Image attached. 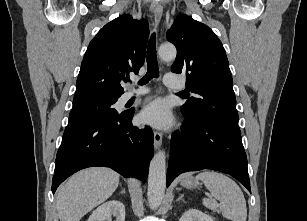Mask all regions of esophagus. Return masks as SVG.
<instances>
[{"label": "esophagus", "mask_w": 307, "mask_h": 221, "mask_svg": "<svg viewBox=\"0 0 307 221\" xmlns=\"http://www.w3.org/2000/svg\"><path fill=\"white\" fill-rule=\"evenodd\" d=\"M163 15V8L161 5L156 4L154 6V26L155 29H158L161 18ZM162 144V133L155 131L154 132V147L155 149H159Z\"/></svg>", "instance_id": "34e87169"}]
</instances>
